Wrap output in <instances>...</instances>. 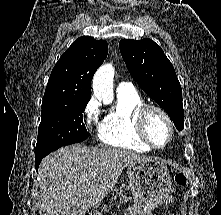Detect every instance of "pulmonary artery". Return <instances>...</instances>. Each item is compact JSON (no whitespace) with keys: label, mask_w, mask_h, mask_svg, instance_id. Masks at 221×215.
Masks as SVG:
<instances>
[{"label":"pulmonary artery","mask_w":221,"mask_h":215,"mask_svg":"<svg viewBox=\"0 0 221 215\" xmlns=\"http://www.w3.org/2000/svg\"><path fill=\"white\" fill-rule=\"evenodd\" d=\"M133 86L128 82H119L117 85V92L132 91Z\"/></svg>","instance_id":"1"}]
</instances>
